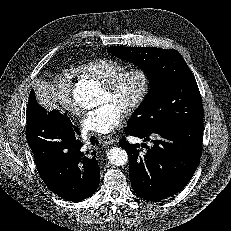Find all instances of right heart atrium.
Returning a JSON list of instances; mask_svg holds the SVG:
<instances>
[{
  "label": "right heart atrium",
  "mask_w": 231,
  "mask_h": 231,
  "mask_svg": "<svg viewBox=\"0 0 231 231\" xmlns=\"http://www.w3.org/2000/svg\"><path fill=\"white\" fill-rule=\"evenodd\" d=\"M51 95L60 109L75 115L80 113V108L72 96L71 78L66 72H60L54 76Z\"/></svg>",
  "instance_id": "d8ad5b80"
}]
</instances>
